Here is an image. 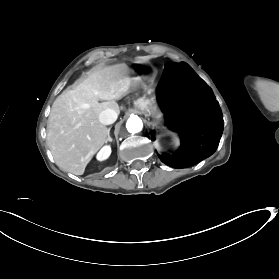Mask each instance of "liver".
<instances>
[{
  "label": "liver",
  "instance_id": "6515ba94",
  "mask_svg": "<svg viewBox=\"0 0 279 279\" xmlns=\"http://www.w3.org/2000/svg\"><path fill=\"white\" fill-rule=\"evenodd\" d=\"M130 87L131 79L124 71L109 66L93 70L75 89L56 98L47 123V145L60 168L74 175L84 173L93 155L108 141L100 113L106 109L119 113L116 100Z\"/></svg>",
  "mask_w": 279,
  "mask_h": 279
}]
</instances>
